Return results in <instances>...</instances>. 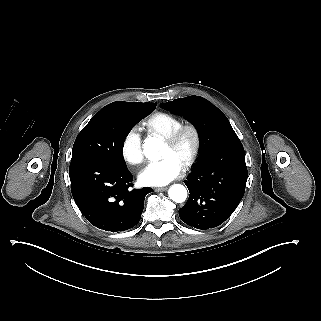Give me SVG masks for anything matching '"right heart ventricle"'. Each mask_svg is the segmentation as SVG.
<instances>
[{"label":"right heart ventricle","mask_w":321,"mask_h":321,"mask_svg":"<svg viewBox=\"0 0 321 321\" xmlns=\"http://www.w3.org/2000/svg\"><path fill=\"white\" fill-rule=\"evenodd\" d=\"M183 124V120L166 112H155L146 120L149 131L160 137L170 135Z\"/></svg>","instance_id":"e07e8e85"}]
</instances>
